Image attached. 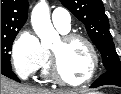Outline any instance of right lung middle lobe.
<instances>
[{
  "mask_svg": "<svg viewBox=\"0 0 121 94\" xmlns=\"http://www.w3.org/2000/svg\"><path fill=\"white\" fill-rule=\"evenodd\" d=\"M17 33L18 31H13L1 34V69L12 70L9 52Z\"/></svg>",
  "mask_w": 121,
  "mask_h": 94,
  "instance_id": "right-lung-middle-lobe-1",
  "label": "right lung middle lobe"
}]
</instances>
